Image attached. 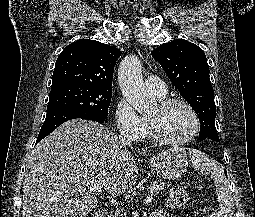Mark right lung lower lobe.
<instances>
[{
    "instance_id": "1",
    "label": "right lung lower lobe",
    "mask_w": 255,
    "mask_h": 217,
    "mask_svg": "<svg viewBox=\"0 0 255 217\" xmlns=\"http://www.w3.org/2000/svg\"><path fill=\"white\" fill-rule=\"evenodd\" d=\"M75 118L88 119L96 122L104 121L103 119H99L86 112L71 109L57 108L47 111L46 119L41 127L38 138L36 140V144L51 132H53L62 123Z\"/></svg>"
}]
</instances>
